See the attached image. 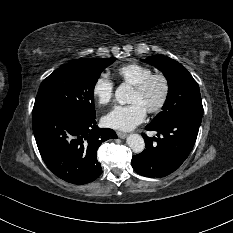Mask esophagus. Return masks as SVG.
I'll return each mask as SVG.
<instances>
[{"label":"esophagus","mask_w":233,"mask_h":233,"mask_svg":"<svg viewBox=\"0 0 233 233\" xmlns=\"http://www.w3.org/2000/svg\"><path fill=\"white\" fill-rule=\"evenodd\" d=\"M117 136L121 139H124L126 138L128 135L126 133H123V132H117Z\"/></svg>","instance_id":"34e87169"}]
</instances>
